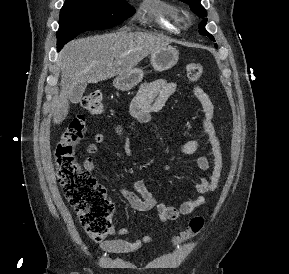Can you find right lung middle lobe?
Masks as SVG:
<instances>
[{"instance_id":"dd1d6c3e","label":"right lung middle lobe","mask_w":289,"mask_h":274,"mask_svg":"<svg viewBox=\"0 0 289 274\" xmlns=\"http://www.w3.org/2000/svg\"><path fill=\"white\" fill-rule=\"evenodd\" d=\"M134 12L125 0H66L60 12L57 48L86 30L114 27Z\"/></svg>"}]
</instances>
